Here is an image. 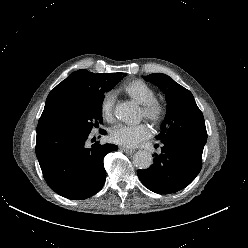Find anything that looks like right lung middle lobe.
Instances as JSON below:
<instances>
[{"label":"right lung middle lobe","mask_w":248,"mask_h":248,"mask_svg":"<svg viewBox=\"0 0 248 248\" xmlns=\"http://www.w3.org/2000/svg\"><path fill=\"white\" fill-rule=\"evenodd\" d=\"M126 73H110L93 80L86 99L74 106L62 108L39 119L37 132L46 129H70L91 132L103 122L104 93L120 82Z\"/></svg>","instance_id":"obj_1"}]
</instances>
